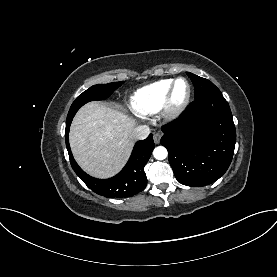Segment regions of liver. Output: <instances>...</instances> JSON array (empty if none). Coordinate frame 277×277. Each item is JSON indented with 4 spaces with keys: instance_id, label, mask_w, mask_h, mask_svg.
Returning a JSON list of instances; mask_svg holds the SVG:
<instances>
[{
    "instance_id": "1",
    "label": "liver",
    "mask_w": 277,
    "mask_h": 277,
    "mask_svg": "<svg viewBox=\"0 0 277 277\" xmlns=\"http://www.w3.org/2000/svg\"><path fill=\"white\" fill-rule=\"evenodd\" d=\"M134 120L97 102L84 105L74 117L69 134L72 153L91 176L109 178L128 160L134 138Z\"/></svg>"
}]
</instances>
